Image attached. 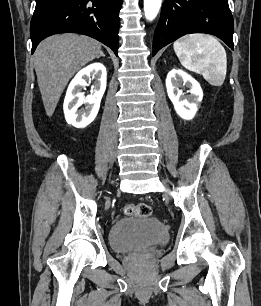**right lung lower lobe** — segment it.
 Wrapping results in <instances>:
<instances>
[{
	"label": "right lung lower lobe",
	"mask_w": 261,
	"mask_h": 306,
	"mask_svg": "<svg viewBox=\"0 0 261 306\" xmlns=\"http://www.w3.org/2000/svg\"><path fill=\"white\" fill-rule=\"evenodd\" d=\"M122 0H36L31 19L32 54L44 38L75 32L97 39L118 56Z\"/></svg>",
	"instance_id": "98d812e1"
}]
</instances>
